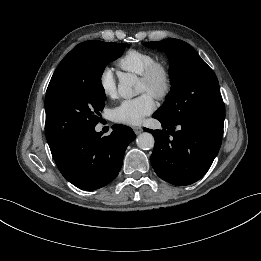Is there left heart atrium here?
Segmentation results:
<instances>
[{
	"instance_id": "1",
	"label": "left heart atrium",
	"mask_w": 261,
	"mask_h": 261,
	"mask_svg": "<svg viewBox=\"0 0 261 261\" xmlns=\"http://www.w3.org/2000/svg\"><path fill=\"white\" fill-rule=\"evenodd\" d=\"M156 104L150 93L126 99L113 108L111 116L115 122L126 125H139L154 112Z\"/></svg>"
}]
</instances>
